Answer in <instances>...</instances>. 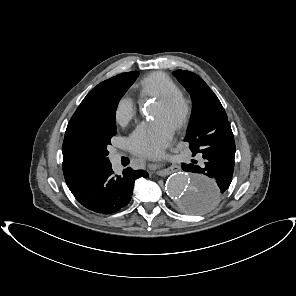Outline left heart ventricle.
Wrapping results in <instances>:
<instances>
[{
	"mask_svg": "<svg viewBox=\"0 0 296 296\" xmlns=\"http://www.w3.org/2000/svg\"><path fill=\"white\" fill-rule=\"evenodd\" d=\"M150 114L153 118H161L168 122L171 126H174L178 111L174 108H168L156 102L152 107Z\"/></svg>",
	"mask_w": 296,
	"mask_h": 296,
	"instance_id": "b2bd125f",
	"label": "left heart ventricle"
}]
</instances>
